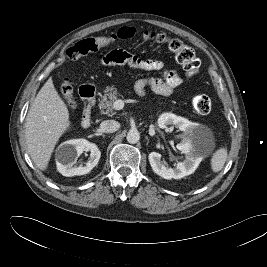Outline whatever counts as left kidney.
<instances>
[{"label": "left kidney", "instance_id": "left-kidney-1", "mask_svg": "<svg viewBox=\"0 0 267 267\" xmlns=\"http://www.w3.org/2000/svg\"><path fill=\"white\" fill-rule=\"evenodd\" d=\"M158 125L162 129L173 125L189 136H185L183 141L176 146L179 151L185 154V159L182 162H178L175 168H167L161 162V155L157 152H151L148 159L152 170L167 180L181 179L192 174L201 161L200 158L193 154V140L190 137L193 130H198V127L187 119L176 116L173 113H163L158 119Z\"/></svg>", "mask_w": 267, "mask_h": 267}]
</instances>
